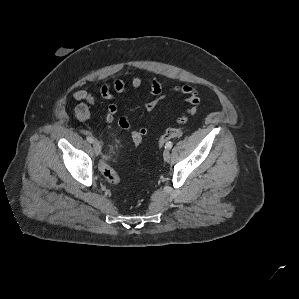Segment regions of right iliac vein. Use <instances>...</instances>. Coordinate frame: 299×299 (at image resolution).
<instances>
[{"mask_svg":"<svg viewBox=\"0 0 299 299\" xmlns=\"http://www.w3.org/2000/svg\"><path fill=\"white\" fill-rule=\"evenodd\" d=\"M93 149L96 155H100L101 154V145L98 141H93Z\"/></svg>","mask_w":299,"mask_h":299,"instance_id":"obj_1","label":"right iliac vein"}]
</instances>
